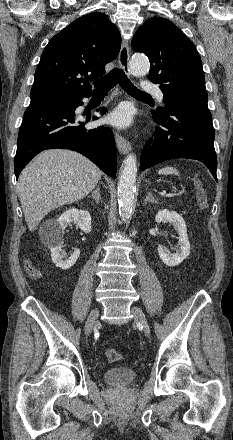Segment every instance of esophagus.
<instances>
[{"label":"esophagus","mask_w":233,"mask_h":440,"mask_svg":"<svg viewBox=\"0 0 233 440\" xmlns=\"http://www.w3.org/2000/svg\"><path fill=\"white\" fill-rule=\"evenodd\" d=\"M129 59H130V47L128 41H123L121 49L118 56V62L120 68L125 72L129 73ZM116 145L120 153L127 154L130 149V143L123 136L116 133Z\"/></svg>","instance_id":"1"}]
</instances>
